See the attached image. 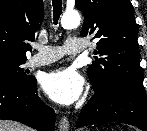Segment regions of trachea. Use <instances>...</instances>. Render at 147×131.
<instances>
[{
	"label": "trachea",
	"mask_w": 147,
	"mask_h": 131,
	"mask_svg": "<svg viewBox=\"0 0 147 131\" xmlns=\"http://www.w3.org/2000/svg\"><path fill=\"white\" fill-rule=\"evenodd\" d=\"M53 3V20L57 24L58 19L62 13V0H52Z\"/></svg>",
	"instance_id": "trachea-1"
}]
</instances>
